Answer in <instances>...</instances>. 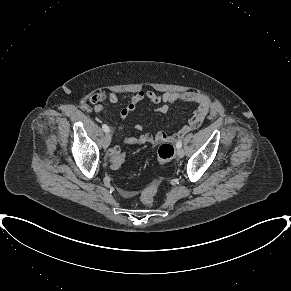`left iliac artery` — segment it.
<instances>
[{
	"instance_id": "obj_1",
	"label": "left iliac artery",
	"mask_w": 291,
	"mask_h": 291,
	"mask_svg": "<svg viewBox=\"0 0 291 291\" xmlns=\"http://www.w3.org/2000/svg\"><path fill=\"white\" fill-rule=\"evenodd\" d=\"M176 147L177 148H181L182 147V142L181 141H178L177 144H176Z\"/></svg>"
}]
</instances>
